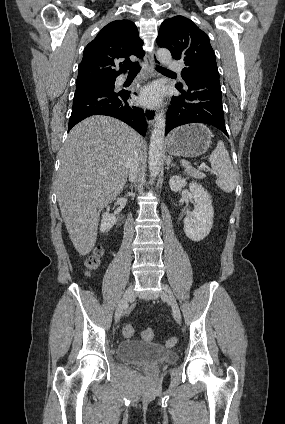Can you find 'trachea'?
<instances>
[{
  "mask_svg": "<svg viewBox=\"0 0 285 424\" xmlns=\"http://www.w3.org/2000/svg\"><path fill=\"white\" fill-rule=\"evenodd\" d=\"M124 68L129 70V74H137L141 70L139 63L137 62L129 65H124ZM156 69L157 71L162 73H173L172 71L160 66H157Z\"/></svg>",
  "mask_w": 285,
  "mask_h": 424,
  "instance_id": "3493384b",
  "label": "trachea"
}]
</instances>
